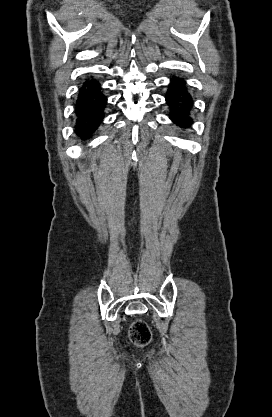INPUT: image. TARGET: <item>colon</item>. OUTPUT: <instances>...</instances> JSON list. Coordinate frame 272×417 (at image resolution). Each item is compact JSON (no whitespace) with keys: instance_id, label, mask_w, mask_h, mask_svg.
I'll return each instance as SVG.
<instances>
[{"instance_id":"1","label":"colon","mask_w":272,"mask_h":417,"mask_svg":"<svg viewBox=\"0 0 272 417\" xmlns=\"http://www.w3.org/2000/svg\"><path fill=\"white\" fill-rule=\"evenodd\" d=\"M130 339L139 346L147 345L151 340V330L143 320H136L129 330Z\"/></svg>"}]
</instances>
